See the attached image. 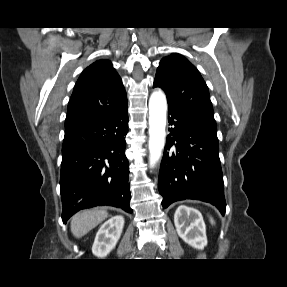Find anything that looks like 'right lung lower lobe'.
Wrapping results in <instances>:
<instances>
[{"instance_id":"right-lung-lower-lobe-1","label":"right lung lower lobe","mask_w":287,"mask_h":287,"mask_svg":"<svg viewBox=\"0 0 287 287\" xmlns=\"http://www.w3.org/2000/svg\"><path fill=\"white\" fill-rule=\"evenodd\" d=\"M127 107L126 102L110 114L65 126L60 176L64 223L95 206L132 213L124 140Z\"/></svg>"}]
</instances>
